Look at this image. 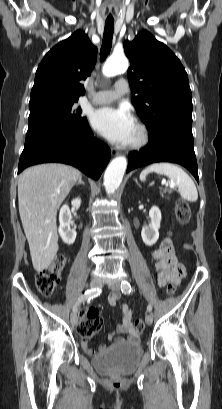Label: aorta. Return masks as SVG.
<instances>
[{
  "mask_svg": "<svg viewBox=\"0 0 222 409\" xmlns=\"http://www.w3.org/2000/svg\"><path fill=\"white\" fill-rule=\"evenodd\" d=\"M128 68V60L125 56L112 55L103 66V74L113 77ZM127 167V160L120 156L114 158L104 174V187L107 194H113L120 186Z\"/></svg>",
  "mask_w": 222,
  "mask_h": 409,
  "instance_id": "1",
  "label": "aorta"
}]
</instances>
